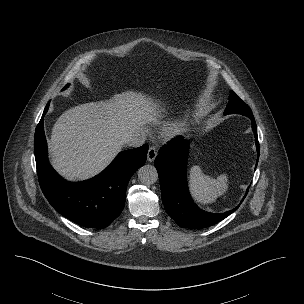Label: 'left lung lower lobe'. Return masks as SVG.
<instances>
[{
    "mask_svg": "<svg viewBox=\"0 0 304 304\" xmlns=\"http://www.w3.org/2000/svg\"><path fill=\"white\" fill-rule=\"evenodd\" d=\"M250 119L259 159L257 126L254 118ZM188 145V140L180 138L163 146L159 151V155L155 158L154 164L160 180L162 201L167 213L178 226L188 229L206 228L226 218L237 207L225 213H208L194 204L189 194L186 180ZM247 193L248 189L244 198Z\"/></svg>",
    "mask_w": 304,
    "mask_h": 304,
    "instance_id": "1",
    "label": "left lung lower lobe"
}]
</instances>
